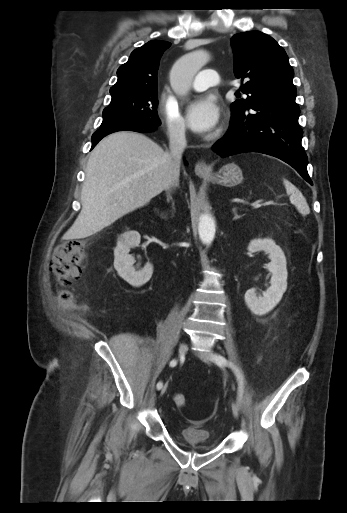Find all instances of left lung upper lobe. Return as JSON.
<instances>
[{"instance_id":"5c2ea615","label":"left lung upper lobe","mask_w":347,"mask_h":513,"mask_svg":"<svg viewBox=\"0 0 347 513\" xmlns=\"http://www.w3.org/2000/svg\"><path fill=\"white\" fill-rule=\"evenodd\" d=\"M231 43L235 76L245 80L242 92L249 94L246 100L238 99L231 104L232 112L267 101L295 103L293 69L284 49L272 37L249 31L234 35Z\"/></svg>"}]
</instances>
